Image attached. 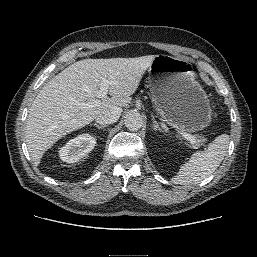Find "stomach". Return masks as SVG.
Wrapping results in <instances>:
<instances>
[{
	"label": "stomach",
	"instance_id": "0dacf381",
	"mask_svg": "<svg viewBox=\"0 0 257 257\" xmlns=\"http://www.w3.org/2000/svg\"><path fill=\"white\" fill-rule=\"evenodd\" d=\"M152 101L169 125L187 132L207 128L212 108L206 92L195 79L189 60L157 55L149 67Z\"/></svg>",
	"mask_w": 257,
	"mask_h": 257
}]
</instances>
